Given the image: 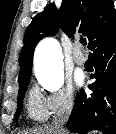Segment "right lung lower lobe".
<instances>
[{"label":"right lung lower lobe","instance_id":"1","mask_svg":"<svg viewBox=\"0 0 116 134\" xmlns=\"http://www.w3.org/2000/svg\"><path fill=\"white\" fill-rule=\"evenodd\" d=\"M95 73L92 92L80 90L66 124L75 133L101 130L116 134V33L92 49Z\"/></svg>","mask_w":116,"mask_h":134}]
</instances>
